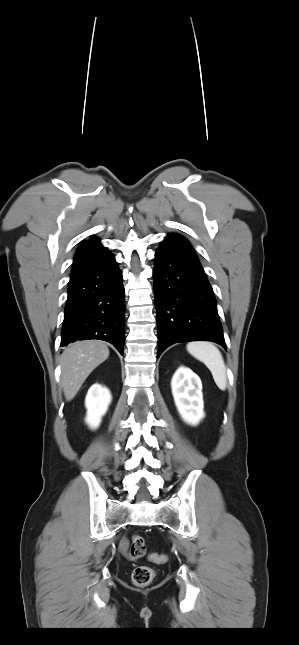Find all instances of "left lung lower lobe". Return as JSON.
I'll use <instances>...</instances> for the list:
<instances>
[{
    "label": "left lung lower lobe",
    "instance_id": "obj_1",
    "mask_svg": "<svg viewBox=\"0 0 299 645\" xmlns=\"http://www.w3.org/2000/svg\"><path fill=\"white\" fill-rule=\"evenodd\" d=\"M153 277L157 357L178 342L205 340L226 347L213 289L188 240L169 234L161 242Z\"/></svg>",
    "mask_w": 299,
    "mask_h": 645
}]
</instances>
